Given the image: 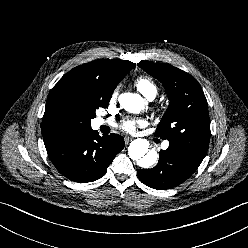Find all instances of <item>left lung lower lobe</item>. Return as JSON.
I'll return each mask as SVG.
<instances>
[{"mask_svg": "<svg viewBox=\"0 0 248 248\" xmlns=\"http://www.w3.org/2000/svg\"><path fill=\"white\" fill-rule=\"evenodd\" d=\"M159 154V162L155 167L137 170L138 178L144 184L158 190L170 189L183 183L203 160L171 144L167 150H161Z\"/></svg>", "mask_w": 248, "mask_h": 248, "instance_id": "obj_1", "label": "left lung lower lobe"}]
</instances>
